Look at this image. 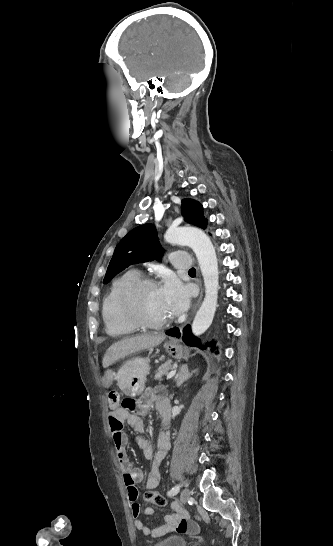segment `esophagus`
<instances>
[{"label": "esophagus", "mask_w": 333, "mask_h": 546, "mask_svg": "<svg viewBox=\"0 0 333 546\" xmlns=\"http://www.w3.org/2000/svg\"><path fill=\"white\" fill-rule=\"evenodd\" d=\"M199 284H200V286H202L201 281L199 282ZM202 296H203V290H202V288H201L200 296H199V298H198V301H197V304H196V306H195V309L197 308V306H198L199 303L201 302Z\"/></svg>", "instance_id": "1"}]
</instances>
